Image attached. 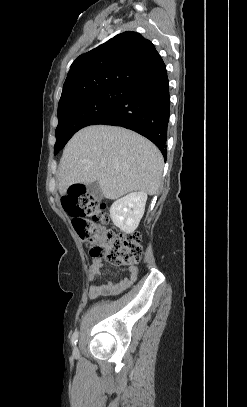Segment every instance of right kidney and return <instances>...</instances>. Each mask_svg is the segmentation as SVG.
<instances>
[{
  "label": "right kidney",
  "mask_w": 247,
  "mask_h": 407,
  "mask_svg": "<svg viewBox=\"0 0 247 407\" xmlns=\"http://www.w3.org/2000/svg\"><path fill=\"white\" fill-rule=\"evenodd\" d=\"M147 193L133 192L116 200L110 207V217L118 228L132 233L138 227L145 211Z\"/></svg>",
  "instance_id": "1"
}]
</instances>
